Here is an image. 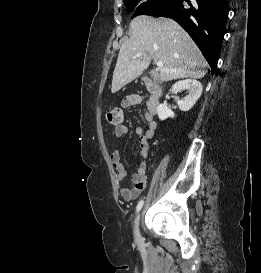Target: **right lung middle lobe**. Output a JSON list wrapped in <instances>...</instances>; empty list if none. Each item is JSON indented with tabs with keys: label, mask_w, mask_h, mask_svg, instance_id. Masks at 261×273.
<instances>
[{
	"label": "right lung middle lobe",
	"mask_w": 261,
	"mask_h": 273,
	"mask_svg": "<svg viewBox=\"0 0 261 273\" xmlns=\"http://www.w3.org/2000/svg\"><path fill=\"white\" fill-rule=\"evenodd\" d=\"M171 0H124L125 6L129 11H137V15H151L155 10L166 5ZM133 16V17H134Z\"/></svg>",
	"instance_id": "1"
}]
</instances>
